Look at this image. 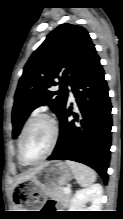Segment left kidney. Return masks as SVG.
I'll return each mask as SVG.
<instances>
[{
	"label": "left kidney",
	"instance_id": "left-kidney-1",
	"mask_svg": "<svg viewBox=\"0 0 123 219\" xmlns=\"http://www.w3.org/2000/svg\"><path fill=\"white\" fill-rule=\"evenodd\" d=\"M103 188L100 184H93L88 188L78 190L71 200V211H101V198ZM91 201V205L85 209V203Z\"/></svg>",
	"mask_w": 123,
	"mask_h": 219
}]
</instances>
